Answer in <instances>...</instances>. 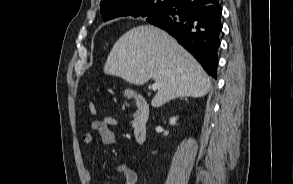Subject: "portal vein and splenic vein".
Masks as SVG:
<instances>
[{"label": "portal vein and splenic vein", "mask_w": 293, "mask_h": 184, "mask_svg": "<svg viewBox=\"0 0 293 184\" xmlns=\"http://www.w3.org/2000/svg\"><path fill=\"white\" fill-rule=\"evenodd\" d=\"M158 89H159V84L155 82V83L152 85V90H153V91H156V90H158Z\"/></svg>", "instance_id": "1"}]
</instances>
